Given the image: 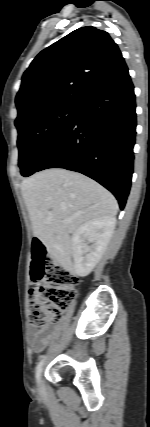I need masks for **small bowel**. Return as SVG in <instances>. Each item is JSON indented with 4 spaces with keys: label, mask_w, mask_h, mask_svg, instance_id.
I'll use <instances>...</instances> for the list:
<instances>
[{
    "label": "small bowel",
    "mask_w": 150,
    "mask_h": 427,
    "mask_svg": "<svg viewBox=\"0 0 150 427\" xmlns=\"http://www.w3.org/2000/svg\"><path fill=\"white\" fill-rule=\"evenodd\" d=\"M53 332V327L30 328L28 337L31 350L33 352H41L49 343Z\"/></svg>",
    "instance_id": "c3829d8e"
}]
</instances>
